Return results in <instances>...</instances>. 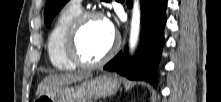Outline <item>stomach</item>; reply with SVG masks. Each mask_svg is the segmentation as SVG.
<instances>
[{"label":"stomach","instance_id":"obj_1","mask_svg":"<svg viewBox=\"0 0 221 102\" xmlns=\"http://www.w3.org/2000/svg\"><path fill=\"white\" fill-rule=\"evenodd\" d=\"M120 81L108 74L85 80L75 86H62L39 95L34 102H91L116 94Z\"/></svg>","mask_w":221,"mask_h":102}]
</instances>
